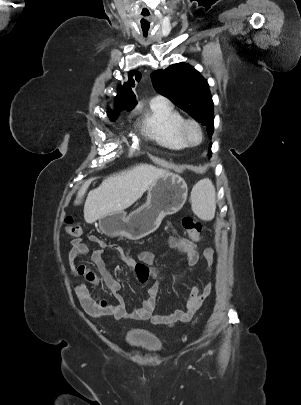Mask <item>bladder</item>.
<instances>
[{"instance_id":"obj_1","label":"bladder","mask_w":301,"mask_h":405,"mask_svg":"<svg viewBox=\"0 0 301 405\" xmlns=\"http://www.w3.org/2000/svg\"><path fill=\"white\" fill-rule=\"evenodd\" d=\"M125 339L126 343L134 348L156 351L161 347L159 339L147 330L132 329L127 332Z\"/></svg>"}]
</instances>
